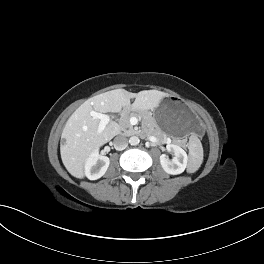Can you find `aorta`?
I'll return each mask as SVG.
<instances>
[{"instance_id":"aorta-1","label":"aorta","mask_w":264,"mask_h":264,"mask_svg":"<svg viewBox=\"0 0 264 264\" xmlns=\"http://www.w3.org/2000/svg\"><path fill=\"white\" fill-rule=\"evenodd\" d=\"M139 142H140V139H139V137H137V136H131L130 138H129V143L131 144V145H138L139 144Z\"/></svg>"}]
</instances>
